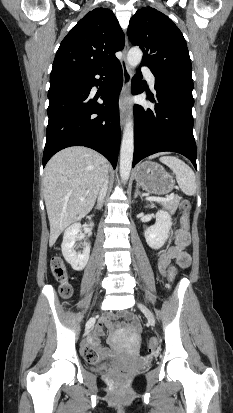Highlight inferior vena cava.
Wrapping results in <instances>:
<instances>
[{"instance_id": "602c4592", "label": "inferior vena cava", "mask_w": 233, "mask_h": 413, "mask_svg": "<svg viewBox=\"0 0 233 413\" xmlns=\"http://www.w3.org/2000/svg\"><path fill=\"white\" fill-rule=\"evenodd\" d=\"M107 185H108V180L105 179L104 183L101 186L100 192H99L98 204H97L98 207L101 206L102 203H103V199H104V197L106 195V192H107Z\"/></svg>"}]
</instances>
